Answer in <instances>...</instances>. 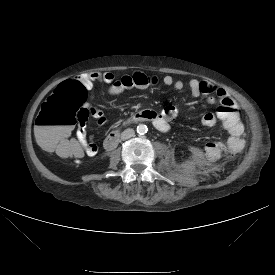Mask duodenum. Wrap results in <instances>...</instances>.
<instances>
[{"label":"duodenum","mask_w":275,"mask_h":275,"mask_svg":"<svg viewBox=\"0 0 275 275\" xmlns=\"http://www.w3.org/2000/svg\"><path fill=\"white\" fill-rule=\"evenodd\" d=\"M141 121H147L145 117V111L136 113L131 118H128L127 120H125L122 125L127 126L132 123H137ZM119 139H120V129L115 128L104 140V148L107 150H111L115 148L119 143Z\"/></svg>","instance_id":"duodenum-1"}]
</instances>
